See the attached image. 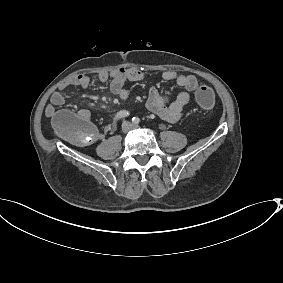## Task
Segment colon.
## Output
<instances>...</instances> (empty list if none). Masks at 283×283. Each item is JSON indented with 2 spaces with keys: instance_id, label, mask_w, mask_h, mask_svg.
<instances>
[{
  "instance_id": "5ec220e1",
  "label": "colon",
  "mask_w": 283,
  "mask_h": 283,
  "mask_svg": "<svg viewBox=\"0 0 283 283\" xmlns=\"http://www.w3.org/2000/svg\"><path fill=\"white\" fill-rule=\"evenodd\" d=\"M196 100L203 110H210L215 104L211 88L201 85L196 92ZM58 134L76 145H88L97 139V131L87 118L70 111L62 110L53 118Z\"/></svg>"
}]
</instances>
